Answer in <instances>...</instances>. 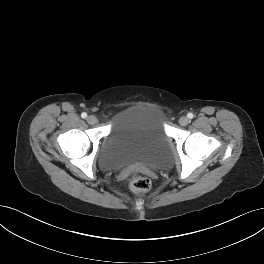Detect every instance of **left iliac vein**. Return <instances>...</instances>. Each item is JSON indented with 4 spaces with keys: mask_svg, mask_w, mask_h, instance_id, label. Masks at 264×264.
I'll list each match as a JSON object with an SVG mask.
<instances>
[{
    "mask_svg": "<svg viewBox=\"0 0 264 264\" xmlns=\"http://www.w3.org/2000/svg\"><path fill=\"white\" fill-rule=\"evenodd\" d=\"M179 123L182 125V126H187L188 123H189V119L186 117V116H183L179 119Z\"/></svg>",
    "mask_w": 264,
    "mask_h": 264,
    "instance_id": "1",
    "label": "left iliac vein"
}]
</instances>
